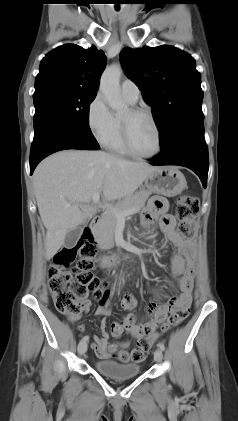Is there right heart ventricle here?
Instances as JSON below:
<instances>
[{"instance_id":"1","label":"right heart ventricle","mask_w":238,"mask_h":421,"mask_svg":"<svg viewBox=\"0 0 238 421\" xmlns=\"http://www.w3.org/2000/svg\"><path fill=\"white\" fill-rule=\"evenodd\" d=\"M115 130L111 138L105 142L103 145L110 151L115 152L120 155H130V153L127 151L121 135V125H120V118L115 117Z\"/></svg>"}]
</instances>
